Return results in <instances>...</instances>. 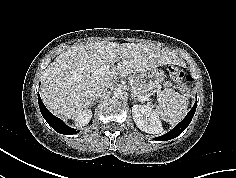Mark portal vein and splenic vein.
Returning <instances> with one entry per match:
<instances>
[{
    "label": "portal vein and splenic vein",
    "instance_id": "portal-vein-and-splenic-vein-1",
    "mask_svg": "<svg viewBox=\"0 0 236 178\" xmlns=\"http://www.w3.org/2000/svg\"><path fill=\"white\" fill-rule=\"evenodd\" d=\"M109 68H110L109 65H104V66L101 68V71H102V72L108 71ZM138 97H139V99H141L142 101L147 100V97H143V96H138Z\"/></svg>",
    "mask_w": 236,
    "mask_h": 178
}]
</instances>
